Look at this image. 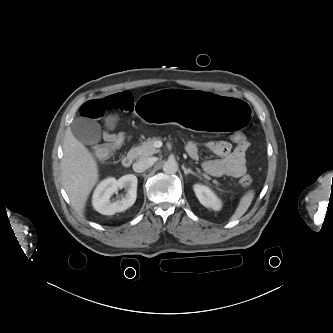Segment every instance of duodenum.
Here are the masks:
<instances>
[{
  "instance_id": "duodenum-1",
  "label": "duodenum",
  "mask_w": 333,
  "mask_h": 333,
  "mask_svg": "<svg viewBox=\"0 0 333 333\" xmlns=\"http://www.w3.org/2000/svg\"><path fill=\"white\" fill-rule=\"evenodd\" d=\"M133 163V156L128 154L126 155L125 157H123L122 159V165L125 167V168H128L132 165Z\"/></svg>"
}]
</instances>
